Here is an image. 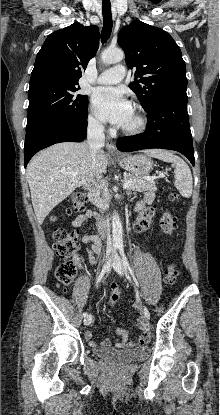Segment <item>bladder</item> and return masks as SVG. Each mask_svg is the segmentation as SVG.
I'll return each mask as SVG.
<instances>
[{"label":"bladder","instance_id":"1","mask_svg":"<svg viewBox=\"0 0 220 415\" xmlns=\"http://www.w3.org/2000/svg\"><path fill=\"white\" fill-rule=\"evenodd\" d=\"M93 352L99 358L114 364H129L143 360L149 354L148 347H136L127 350L95 348Z\"/></svg>","mask_w":220,"mask_h":415}]
</instances>
